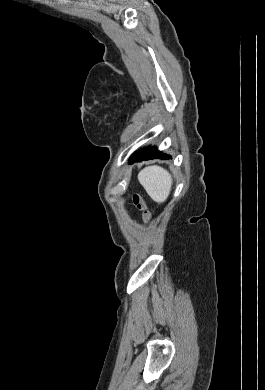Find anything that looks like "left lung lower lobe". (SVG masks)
Returning a JSON list of instances; mask_svg holds the SVG:
<instances>
[{"mask_svg": "<svg viewBox=\"0 0 265 390\" xmlns=\"http://www.w3.org/2000/svg\"><path fill=\"white\" fill-rule=\"evenodd\" d=\"M170 158L171 156L160 152L157 148H152L148 146L135 152L130 157L129 164H132L134 162L151 160V159H170Z\"/></svg>", "mask_w": 265, "mask_h": 390, "instance_id": "obj_1", "label": "left lung lower lobe"}]
</instances>
